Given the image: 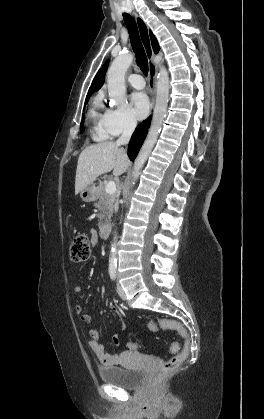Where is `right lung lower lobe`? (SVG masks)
Segmentation results:
<instances>
[{"label":"right lung lower lobe","instance_id":"right-lung-lower-lobe-1","mask_svg":"<svg viewBox=\"0 0 264 419\" xmlns=\"http://www.w3.org/2000/svg\"><path fill=\"white\" fill-rule=\"evenodd\" d=\"M150 123H151V117L141 122L135 129V132L133 133L130 139V142L128 145V155L132 161L136 158L143 144V141L146 138L148 129L150 127Z\"/></svg>","mask_w":264,"mask_h":419}]
</instances>
